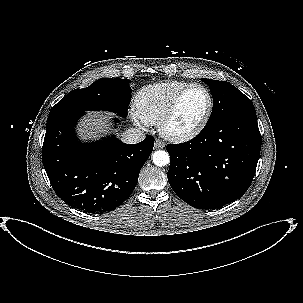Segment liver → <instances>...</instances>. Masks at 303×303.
<instances>
[{
	"mask_svg": "<svg viewBox=\"0 0 303 303\" xmlns=\"http://www.w3.org/2000/svg\"><path fill=\"white\" fill-rule=\"evenodd\" d=\"M109 124L102 114L94 113L83 119L80 124L79 133L82 139H96L102 133L108 131Z\"/></svg>",
	"mask_w": 303,
	"mask_h": 303,
	"instance_id": "6515ba94",
	"label": "liver"
}]
</instances>
